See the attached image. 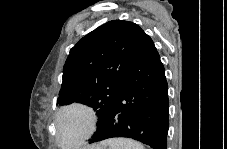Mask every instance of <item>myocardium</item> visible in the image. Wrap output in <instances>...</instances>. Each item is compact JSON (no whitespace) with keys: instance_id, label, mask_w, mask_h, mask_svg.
<instances>
[{"instance_id":"f54148a6","label":"myocardium","mask_w":227,"mask_h":149,"mask_svg":"<svg viewBox=\"0 0 227 149\" xmlns=\"http://www.w3.org/2000/svg\"><path fill=\"white\" fill-rule=\"evenodd\" d=\"M73 111H80L82 112L87 119V128L85 132L73 143H64L60 137V128L63 119L69 113ZM98 117L94 109L84 103L80 102H73L61 107L58 112L56 113L54 124H55V142L59 146L65 147H78L83 145L95 132L97 127Z\"/></svg>"}]
</instances>
